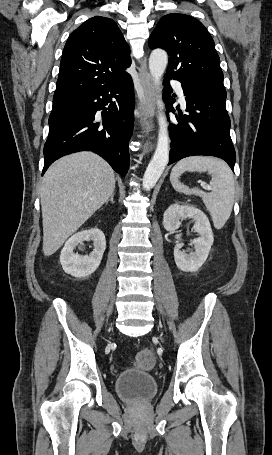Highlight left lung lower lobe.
Segmentation results:
<instances>
[{
	"label": "left lung lower lobe",
	"mask_w": 272,
	"mask_h": 455,
	"mask_svg": "<svg viewBox=\"0 0 272 455\" xmlns=\"http://www.w3.org/2000/svg\"><path fill=\"white\" fill-rule=\"evenodd\" d=\"M170 79L182 83L187 113L182 115L179 111L170 123L169 165L188 156L207 155L225 160L234 171L236 155L230 137V118L225 107L227 94L223 83L165 75L164 100L172 112L174 100L170 96Z\"/></svg>",
	"instance_id": "obj_1"
}]
</instances>
